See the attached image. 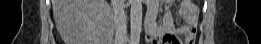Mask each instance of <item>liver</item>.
I'll return each instance as SVG.
<instances>
[{
    "mask_svg": "<svg viewBox=\"0 0 261 44\" xmlns=\"http://www.w3.org/2000/svg\"><path fill=\"white\" fill-rule=\"evenodd\" d=\"M111 10L106 0H53V14L58 32L67 44H102V24H119L107 19Z\"/></svg>",
    "mask_w": 261,
    "mask_h": 44,
    "instance_id": "liver-1",
    "label": "liver"
}]
</instances>
